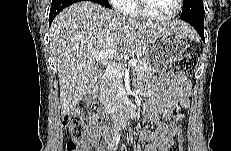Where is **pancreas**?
Wrapping results in <instances>:
<instances>
[{
  "label": "pancreas",
  "instance_id": "cf45deb5",
  "mask_svg": "<svg viewBox=\"0 0 231 151\" xmlns=\"http://www.w3.org/2000/svg\"><path fill=\"white\" fill-rule=\"evenodd\" d=\"M137 61L136 66L133 68V73L136 76L144 77L153 73L144 58H138ZM121 88H123L122 77L108 71L100 84L99 100L101 105L104 107H112L118 104L121 101L119 95Z\"/></svg>",
  "mask_w": 231,
  "mask_h": 151
}]
</instances>
